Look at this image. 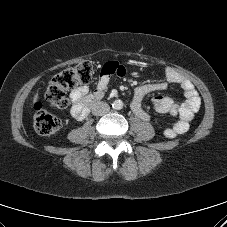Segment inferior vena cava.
Masks as SVG:
<instances>
[{
    "mask_svg": "<svg viewBox=\"0 0 227 227\" xmlns=\"http://www.w3.org/2000/svg\"><path fill=\"white\" fill-rule=\"evenodd\" d=\"M110 111V106L105 102H97L92 106V114L102 116Z\"/></svg>",
    "mask_w": 227,
    "mask_h": 227,
    "instance_id": "602c4592",
    "label": "inferior vena cava"
}]
</instances>
